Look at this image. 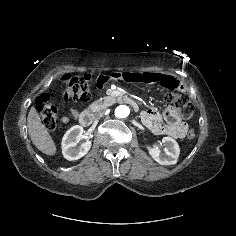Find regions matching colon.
<instances>
[{"label": "colon", "mask_w": 236, "mask_h": 236, "mask_svg": "<svg viewBox=\"0 0 236 236\" xmlns=\"http://www.w3.org/2000/svg\"><path fill=\"white\" fill-rule=\"evenodd\" d=\"M174 88H172L173 90ZM93 84L91 78L84 76H68L63 83V97L66 100L84 101L91 97ZM167 101L178 110L180 117L185 120H193L195 115L194 105L190 102L186 94L177 92L167 96ZM36 110L40 114L45 127L52 130L56 127L59 111L58 108L50 101L49 95H42L36 101ZM196 137L194 129H190L187 138L193 140Z\"/></svg>", "instance_id": "colon-1"}]
</instances>
